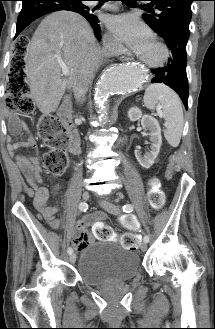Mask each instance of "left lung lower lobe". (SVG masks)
<instances>
[{
  "label": "left lung lower lobe",
  "mask_w": 215,
  "mask_h": 329,
  "mask_svg": "<svg viewBox=\"0 0 215 329\" xmlns=\"http://www.w3.org/2000/svg\"><path fill=\"white\" fill-rule=\"evenodd\" d=\"M171 51V58L163 68L152 70V83H164L175 90L188 108V79L186 74V46L188 38L168 30L160 35Z\"/></svg>",
  "instance_id": "1"
}]
</instances>
